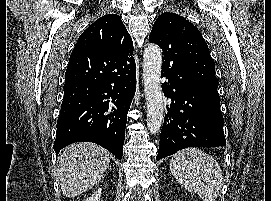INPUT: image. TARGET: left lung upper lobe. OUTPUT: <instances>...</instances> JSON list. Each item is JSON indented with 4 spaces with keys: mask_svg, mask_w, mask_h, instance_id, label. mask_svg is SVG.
I'll use <instances>...</instances> for the list:
<instances>
[{
    "mask_svg": "<svg viewBox=\"0 0 271 201\" xmlns=\"http://www.w3.org/2000/svg\"><path fill=\"white\" fill-rule=\"evenodd\" d=\"M149 41L156 43L163 51L172 44L179 45L187 71L191 74L195 85L220 110L215 63L201 33L192 23L178 14L164 12L155 21Z\"/></svg>",
    "mask_w": 271,
    "mask_h": 201,
    "instance_id": "1",
    "label": "left lung upper lobe"
}]
</instances>
